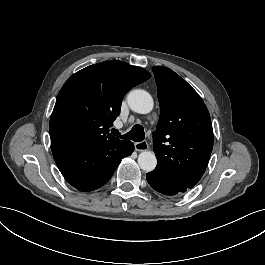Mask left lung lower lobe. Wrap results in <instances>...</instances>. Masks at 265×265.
Returning <instances> with one entry per match:
<instances>
[{"mask_svg": "<svg viewBox=\"0 0 265 265\" xmlns=\"http://www.w3.org/2000/svg\"><path fill=\"white\" fill-rule=\"evenodd\" d=\"M149 185L159 193L164 195H176L186 192L189 188L181 182L175 180L168 174L155 169L146 176Z\"/></svg>", "mask_w": 265, "mask_h": 265, "instance_id": "1", "label": "left lung lower lobe"}]
</instances>
